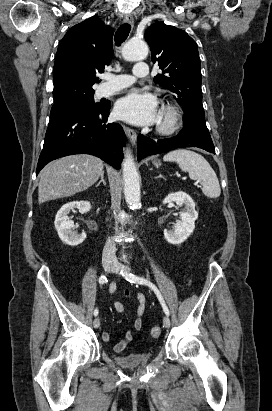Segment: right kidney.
Masks as SVG:
<instances>
[{
	"label": "right kidney",
	"mask_w": 272,
	"mask_h": 411,
	"mask_svg": "<svg viewBox=\"0 0 272 411\" xmlns=\"http://www.w3.org/2000/svg\"><path fill=\"white\" fill-rule=\"evenodd\" d=\"M77 208L81 213L90 211L91 204L88 201H73L63 205L57 212L55 217V228L63 243L76 246L81 244L86 239V233L78 234L73 229L75 228L74 222L70 221L68 214L70 210Z\"/></svg>",
	"instance_id": "1"
}]
</instances>
